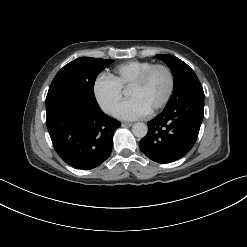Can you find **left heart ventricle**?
<instances>
[{
	"label": "left heart ventricle",
	"mask_w": 247,
	"mask_h": 247,
	"mask_svg": "<svg viewBox=\"0 0 247 247\" xmlns=\"http://www.w3.org/2000/svg\"><path fill=\"white\" fill-rule=\"evenodd\" d=\"M168 87L167 73L162 69H156L142 86L129 88L128 96L131 99H138L148 110H151L164 98Z\"/></svg>",
	"instance_id": "b2bd125f"
}]
</instances>
